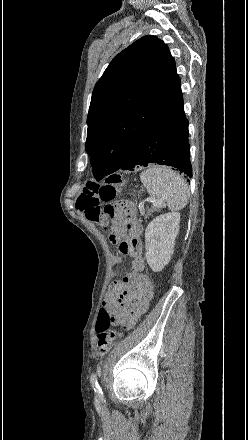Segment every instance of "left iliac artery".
Returning <instances> with one entry per match:
<instances>
[{
  "label": "left iliac artery",
  "mask_w": 248,
  "mask_h": 440,
  "mask_svg": "<svg viewBox=\"0 0 248 440\" xmlns=\"http://www.w3.org/2000/svg\"><path fill=\"white\" fill-rule=\"evenodd\" d=\"M99 375H100V369H98L95 373H93L91 375L90 381H91V385H92L94 391L97 393V395H99V397H102L103 392H102V389L98 383V376Z\"/></svg>",
  "instance_id": "obj_1"
}]
</instances>
